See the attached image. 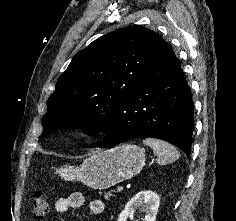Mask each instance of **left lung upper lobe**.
I'll use <instances>...</instances> for the list:
<instances>
[{
    "instance_id": "obj_1",
    "label": "left lung upper lobe",
    "mask_w": 236,
    "mask_h": 221,
    "mask_svg": "<svg viewBox=\"0 0 236 221\" xmlns=\"http://www.w3.org/2000/svg\"><path fill=\"white\" fill-rule=\"evenodd\" d=\"M166 44L156 32L135 25L77 52L47 101L42 136L67 126L90 135L105 131Z\"/></svg>"
}]
</instances>
